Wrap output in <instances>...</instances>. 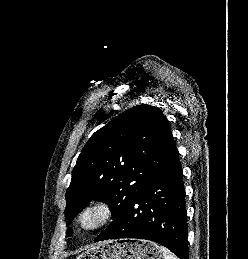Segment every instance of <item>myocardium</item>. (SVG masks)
Masks as SVG:
<instances>
[{
  "mask_svg": "<svg viewBox=\"0 0 248 259\" xmlns=\"http://www.w3.org/2000/svg\"><path fill=\"white\" fill-rule=\"evenodd\" d=\"M92 213L96 214L97 217L92 223L87 224L85 219ZM113 215L112 205L106 200L98 199L87 203L79 210L76 224L82 232L92 233L104 227L112 219Z\"/></svg>",
  "mask_w": 248,
  "mask_h": 259,
  "instance_id": "1",
  "label": "myocardium"
}]
</instances>
